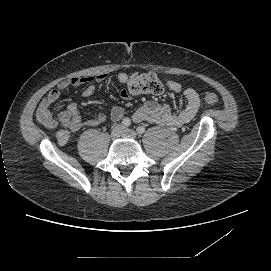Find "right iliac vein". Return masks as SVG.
Wrapping results in <instances>:
<instances>
[{
  "label": "right iliac vein",
  "instance_id": "obj_1",
  "mask_svg": "<svg viewBox=\"0 0 271 271\" xmlns=\"http://www.w3.org/2000/svg\"><path fill=\"white\" fill-rule=\"evenodd\" d=\"M121 135H122V127L121 126L114 127L111 132L112 140L118 139Z\"/></svg>",
  "mask_w": 271,
  "mask_h": 271
}]
</instances>
